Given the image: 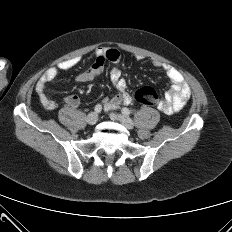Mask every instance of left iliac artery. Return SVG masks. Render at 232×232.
I'll list each match as a JSON object with an SVG mask.
<instances>
[{"instance_id":"1","label":"left iliac artery","mask_w":232,"mask_h":232,"mask_svg":"<svg viewBox=\"0 0 232 232\" xmlns=\"http://www.w3.org/2000/svg\"><path fill=\"white\" fill-rule=\"evenodd\" d=\"M121 111H122V113L125 114V115H129V114L131 113V111H130L128 108H126V107L122 108Z\"/></svg>"}]
</instances>
